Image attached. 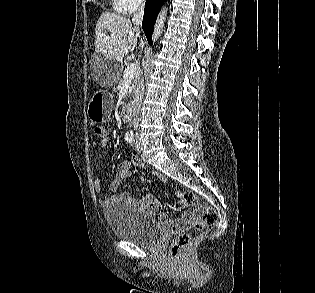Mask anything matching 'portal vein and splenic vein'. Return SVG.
Listing matches in <instances>:
<instances>
[{
    "label": "portal vein and splenic vein",
    "instance_id": "obj_1",
    "mask_svg": "<svg viewBox=\"0 0 315 293\" xmlns=\"http://www.w3.org/2000/svg\"><path fill=\"white\" fill-rule=\"evenodd\" d=\"M135 72H136V64L131 63V64H129V65L125 68L123 77H124L125 79H130V78L133 77V75L135 74Z\"/></svg>",
    "mask_w": 315,
    "mask_h": 293
}]
</instances>
